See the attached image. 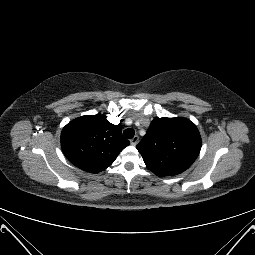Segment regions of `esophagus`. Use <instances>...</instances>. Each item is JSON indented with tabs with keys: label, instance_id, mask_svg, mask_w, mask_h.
Listing matches in <instances>:
<instances>
[{
	"label": "esophagus",
	"instance_id": "1",
	"mask_svg": "<svg viewBox=\"0 0 255 255\" xmlns=\"http://www.w3.org/2000/svg\"><path fill=\"white\" fill-rule=\"evenodd\" d=\"M138 142H139V137H138V136H134V137L130 140V143H131V145H133V146H136Z\"/></svg>",
	"mask_w": 255,
	"mask_h": 255
}]
</instances>
